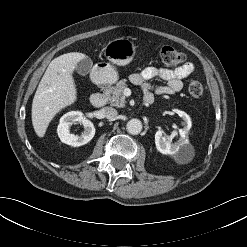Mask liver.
<instances>
[{
    "instance_id": "liver-1",
    "label": "liver",
    "mask_w": 247,
    "mask_h": 247,
    "mask_svg": "<svg viewBox=\"0 0 247 247\" xmlns=\"http://www.w3.org/2000/svg\"><path fill=\"white\" fill-rule=\"evenodd\" d=\"M86 57L79 52L63 54L51 61L36 90L32 102V124L43 137L53 117L77 100L73 78L77 63Z\"/></svg>"
}]
</instances>
